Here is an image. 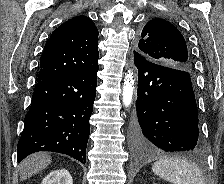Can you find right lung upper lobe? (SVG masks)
Wrapping results in <instances>:
<instances>
[{
	"label": "right lung upper lobe",
	"mask_w": 224,
	"mask_h": 184,
	"mask_svg": "<svg viewBox=\"0 0 224 184\" xmlns=\"http://www.w3.org/2000/svg\"><path fill=\"white\" fill-rule=\"evenodd\" d=\"M98 35L93 21L77 16L60 25L45 44L38 81L71 75L98 65Z\"/></svg>",
	"instance_id": "cb5924a9"
}]
</instances>
